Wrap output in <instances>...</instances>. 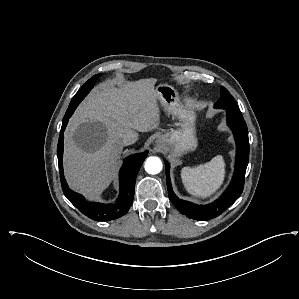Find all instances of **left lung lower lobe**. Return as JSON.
<instances>
[{
  "label": "left lung lower lobe",
  "mask_w": 299,
  "mask_h": 299,
  "mask_svg": "<svg viewBox=\"0 0 299 299\" xmlns=\"http://www.w3.org/2000/svg\"><path fill=\"white\" fill-rule=\"evenodd\" d=\"M227 112V123L234 133L236 140V163L235 172L229 187L222 196L211 204L199 206L188 201L178 199L174 194L169 177V165H166V179L168 195L175 207L184 215L198 221H206L219 216L227 210L239 196L244 187V177L249 161V139L247 125L242 113H236L225 109Z\"/></svg>",
  "instance_id": "0a47b994"
}]
</instances>
